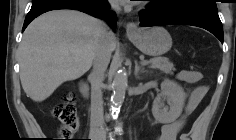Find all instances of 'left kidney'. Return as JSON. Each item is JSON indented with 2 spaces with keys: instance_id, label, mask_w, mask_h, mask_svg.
<instances>
[{
  "instance_id": "5707ae66",
  "label": "left kidney",
  "mask_w": 236,
  "mask_h": 140,
  "mask_svg": "<svg viewBox=\"0 0 236 140\" xmlns=\"http://www.w3.org/2000/svg\"><path fill=\"white\" fill-rule=\"evenodd\" d=\"M183 88L174 81L165 80L161 84V93L157 95L152 105V113L159 123H171L182 113L186 100ZM167 101L169 108L165 107Z\"/></svg>"
}]
</instances>
